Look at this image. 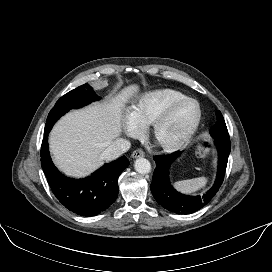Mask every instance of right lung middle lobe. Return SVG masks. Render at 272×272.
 <instances>
[{"instance_id": "dd1d6c3e", "label": "right lung middle lobe", "mask_w": 272, "mask_h": 272, "mask_svg": "<svg viewBox=\"0 0 272 272\" xmlns=\"http://www.w3.org/2000/svg\"><path fill=\"white\" fill-rule=\"evenodd\" d=\"M99 99L92 87L87 83L71 90L62 96L50 111L44 132L51 130L54 123L70 109L83 107Z\"/></svg>"}]
</instances>
